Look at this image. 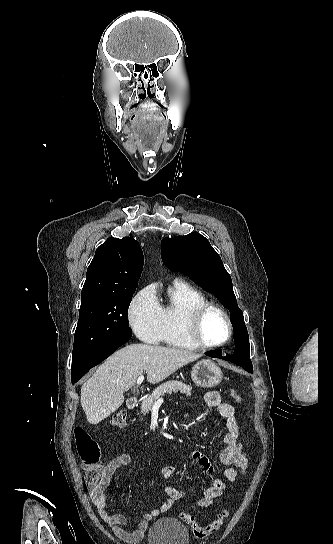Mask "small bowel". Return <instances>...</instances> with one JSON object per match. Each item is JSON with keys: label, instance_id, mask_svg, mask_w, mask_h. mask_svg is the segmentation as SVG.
Here are the masks:
<instances>
[{"label": "small bowel", "instance_id": "c3829d8e", "mask_svg": "<svg viewBox=\"0 0 333 544\" xmlns=\"http://www.w3.org/2000/svg\"><path fill=\"white\" fill-rule=\"evenodd\" d=\"M206 404L215 409L223 418H225V426L227 432L223 436L225 444L224 449L220 453L221 462L227 467L223 471V478H216L211 487L203 494V497L195 501L199 507H208L218 499L227 488L228 483L235 481L238 475H244L248 468V457L245 453L242 444L238 441L240 430L237 419L234 414V407L227 402H224L221 395L217 391H209L205 394ZM192 461L199 465L207 472H213L214 468L210 460L199 452H193L190 455ZM131 463V456L127 453L120 454L110 460L105 465L106 480L102 487L90 491L91 501L96 508L100 518L110 527L112 532L121 540L137 543L142 540L145 532L148 529L149 523L160 514L168 512L173 505L185 496V492L175 486L167 485L165 487L166 500L157 508L152 509L143 514L142 520L133 531H128L125 526L127 518L120 513H110L106 507L107 488L115 474L122 467H126ZM176 472L175 465H166L161 468L160 475L162 479L169 480Z\"/></svg>", "mask_w": 333, "mask_h": 544}]
</instances>
